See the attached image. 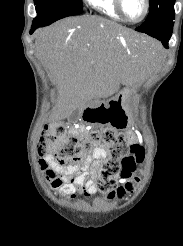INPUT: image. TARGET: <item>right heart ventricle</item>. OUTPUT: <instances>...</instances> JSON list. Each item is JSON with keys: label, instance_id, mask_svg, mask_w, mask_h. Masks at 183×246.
<instances>
[{"label": "right heart ventricle", "instance_id": "1", "mask_svg": "<svg viewBox=\"0 0 183 246\" xmlns=\"http://www.w3.org/2000/svg\"><path fill=\"white\" fill-rule=\"evenodd\" d=\"M93 9L115 20L124 21L116 9L115 0H87Z\"/></svg>", "mask_w": 183, "mask_h": 246}]
</instances>
